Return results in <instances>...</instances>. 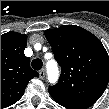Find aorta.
I'll return each mask as SVG.
<instances>
[{
	"label": "aorta",
	"mask_w": 109,
	"mask_h": 109,
	"mask_svg": "<svg viewBox=\"0 0 109 109\" xmlns=\"http://www.w3.org/2000/svg\"><path fill=\"white\" fill-rule=\"evenodd\" d=\"M47 78L50 84H55L59 78V68L55 60H50L46 64Z\"/></svg>",
	"instance_id": "obj_1"
}]
</instances>
